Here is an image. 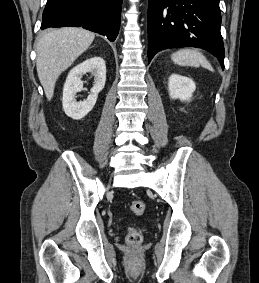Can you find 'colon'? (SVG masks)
Segmentation results:
<instances>
[{
  "instance_id": "obj_1",
  "label": "colon",
  "mask_w": 259,
  "mask_h": 283,
  "mask_svg": "<svg viewBox=\"0 0 259 283\" xmlns=\"http://www.w3.org/2000/svg\"><path fill=\"white\" fill-rule=\"evenodd\" d=\"M131 212L140 216L145 212V203L141 200H135L130 204ZM126 243L131 246H138L143 241V236L141 231L136 228H130L126 234Z\"/></svg>"
}]
</instances>
